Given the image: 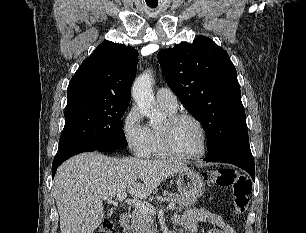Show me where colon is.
Listing matches in <instances>:
<instances>
[{"label":"colon","mask_w":306,"mask_h":233,"mask_svg":"<svg viewBox=\"0 0 306 233\" xmlns=\"http://www.w3.org/2000/svg\"><path fill=\"white\" fill-rule=\"evenodd\" d=\"M204 176L211 185L232 189L233 209L236 215H243L247 211L252 183L245 174L234 168L221 167L207 171ZM94 233H114L113 221L109 218L104 219Z\"/></svg>","instance_id":"5ec220e1"}]
</instances>
